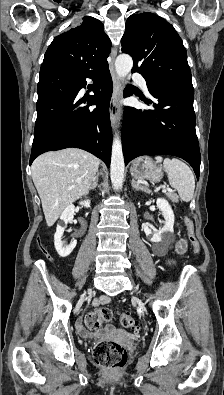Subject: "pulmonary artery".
<instances>
[{"label": "pulmonary artery", "instance_id": "e3ab8cb5", "mask_svg": "<svg viewBox=\"0 0 224 395\" xmlns=\"http://www.w3.org/2000/svg\"><path fill=\"white\" fill-rule=\"evenodd\" d=\"M132 79H133L134 81H136V82L141 86L142 90H143L145 93H148V92H149V91H148V87H147V82H146L145 78H144L142 75H140V74L137 73V72H134V73L132 74Z\"/></svg>", "mask_w": 224, "mask_h": 395}]
</instances>
